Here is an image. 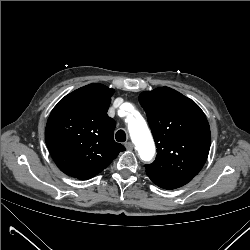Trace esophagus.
<instances>
[{
  "label": "esophagus",
  "mask_w": 250,
  "mask_h": 250,
  "mask_svg": "<svg viewBox=\"0 0 250 250\" xmlns=\"http://www.w3.org/2000/svg\"><path fill=\"white\" fill-rule=\"evenodd\" d=\"M125 147H126L127 150H132L134 145H133L132 142L129 141V142L125 143Z\"/></svg>",
  "instance_id": "obj_1"
}]
</instances>
